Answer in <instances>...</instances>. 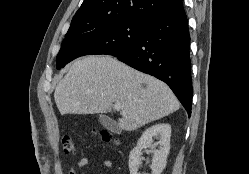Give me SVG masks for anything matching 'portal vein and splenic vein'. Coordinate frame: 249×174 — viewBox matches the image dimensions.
<instances>
[{
  "label": "portal vein and splenic vein",
  "instance_id": "18ae733b",
  "mask_svg": "<svg viewBox=\"0 0 249 174\" xmlns=\"http://www.w3.org/2000/svg\"><path fill=\"white\" fill-rule=\"evenodd\" d=\"M114 109L117 110V111H121V107H120L119 104H115ZM121 114H124V112L121 111Z\"/></svg>",
  "mask_w": 249,
  "mask_h": 174
}]
</instances>
